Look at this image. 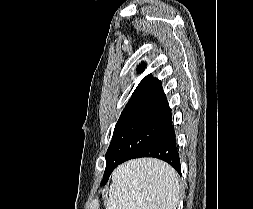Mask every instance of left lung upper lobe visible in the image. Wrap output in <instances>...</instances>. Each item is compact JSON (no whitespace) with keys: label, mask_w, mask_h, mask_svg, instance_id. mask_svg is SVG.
Masks as SVG:
<instances>
[{"label":"left lung upper lobe","mask_w":253,"mask_h":209,"mask_svg":"<svg viewBox=\"0 0 253 209\" xmlns=\"http://www.w3.org/2000/svg\"><path fill=\"white\" fill-rule=\"evenodd\" d=\"M144 65L139 66V71ZM172 120L161 81L147 75L132 94L115 126L106 153V168L141 151Z\"/></svg>","instance_id":"1"}]
</instances>
